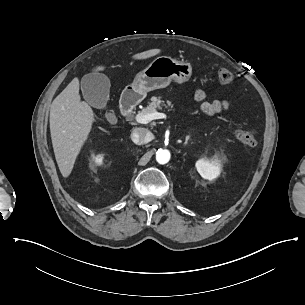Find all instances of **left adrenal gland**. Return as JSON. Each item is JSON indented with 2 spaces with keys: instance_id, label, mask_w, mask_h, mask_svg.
<instances>
[{
  "instance_id": "1",
  "label": "left adrenal gland",
  "mask_w": 305,
  "mask_h": 305,
  "mask_svg": "<svg viewBox=\"0 0 305 305\" xmlns=\"http://www.w3.org/2000/svg\"><path fill=\"white\" fill-rule=\"evenodd\" d=\"M191 139H192V136H191V135L188 136V137L186 138L185 143H184L183 145L186 146V145L188 144V141H190Z\"/></svg>"
}]
</instances>
